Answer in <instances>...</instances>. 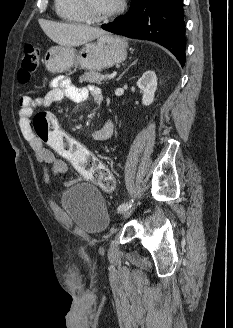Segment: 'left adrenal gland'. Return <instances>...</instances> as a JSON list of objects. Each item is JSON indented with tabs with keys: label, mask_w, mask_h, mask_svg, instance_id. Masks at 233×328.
<instances>
[{
	"label": "left adrenal gland",
	"mask_w": 233,
	"mask_h": 328,
	"mask_svg": "<svg viewBox=\"0 0 233 328\" xmlns=\"http://www.w3.org/2000/svg\"><path fill=\"white\" fill-rule=\"evenodd\" d=\"M138 60L136 59L135 61H133V63L132 64H130L124 71H123V73L117 78V81H119L122 77H123V75L130 69V67H132L133 65H135L136 64V62H137Z\"/></svg>",
	"instance_id": "a2214340"
}]
</instances>
